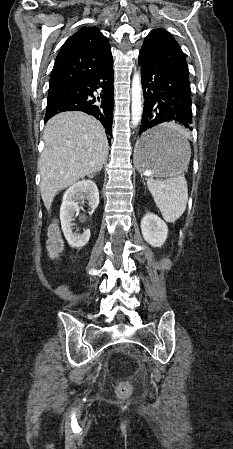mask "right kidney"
<instances>
[{"instance_id": "ca27d5eb", "label": "right kidney", "mask_w": 233, "mask_h": 449, "mask_svg": "<svg viewBox=\"0 0 233 449\" xmlns=\"http://www.w3.org/2000/svg\"><path fill=\"white\" fill-rule=\"evenodd\" d=\"M87 199L89 206L94 211L99 204V192L96 184L91 180H82L72 185L64 194L60 208L61 227L66 240L73 248L85 246L90 238V230L86 229L82 234L72 231V220L78 211L77 200Z\"/></svg>"}]
</instances>
